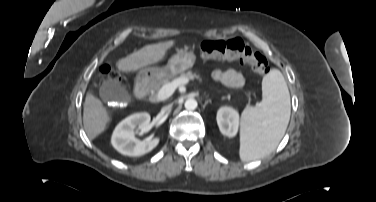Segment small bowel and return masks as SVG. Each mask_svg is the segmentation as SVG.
Wrapping results in <instances>:
<instances>
[{"instance_id":"c3829d8e","label":"small bowel","mask_w":376,"mask_h":202,"mask_svg":"<svg viewBox=\"0 0 376 202\" xmlns=\"http://www.w3.org/2000/svg\"><path fill=\"white\" fill-rule=\"evenodd\" d=\"M213 77L217 81L231 87H238L244 83V77L235 70H216L213 73Z\"/></svg>"}]
</instances>
